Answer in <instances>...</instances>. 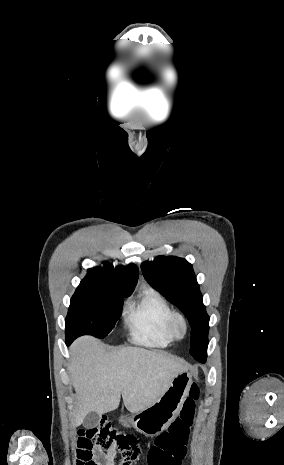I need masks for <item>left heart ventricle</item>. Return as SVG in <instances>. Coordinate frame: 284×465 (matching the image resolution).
I'll return each instance as SVG.
<instances>
[{
  "instance_id": "1",
  "label": "left heart ventricle",
  "mask_w": 284,
  "mask_h": 465,
  "mask_svg": "<svg viewBox=\"0 0 284 465\" xmlns=\"http://www.w3.org/2000/svg\"><path fill=\"white\" fill-rule=\"evenodd\" d=\"M175 331H176V333H177L179 336H183V334H184V329H183V326H182V324H181L180 322H178V323L176 324Z\"/></svg>"
}]
</instances>
